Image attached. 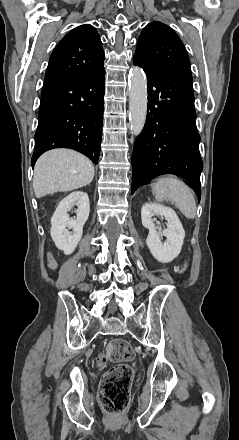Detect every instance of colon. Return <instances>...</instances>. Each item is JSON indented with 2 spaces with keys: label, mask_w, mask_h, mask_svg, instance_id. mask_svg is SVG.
Here are the masks:
<instances>
[{
  "label": "colon",
  "mask_w": 239,
  "mask_h": 440,
  "mask_svg": "<svg viewBox=\"0 0 239 440\" xmlns=\"http://www.w3.org/2000/svg\"><path fill=\"white\" fill-rule=\"evenodd\" d=\"M183 270L184 267H179L175 272L180 273ZM133 356V349L128 341L114 339L108 344L104 356L99 359V365H103L106 360L114 363L104 373L99 389L101 405L110 414L119 415L128 405L134 370L126 362Z\"/></svg>",
  "instance_id": "obj_1"
}]
</instances>
